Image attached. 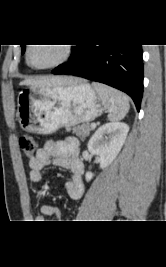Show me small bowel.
<instances>
[{
    "mask_svg": "<svg viewBox=\"0 0 166 267\" xmlns=\"http://www.w3.org/2000/svg\"><path fill=\"white\" fill-rule=\"evenodd\" d=\"M50 164L69 171L71 178L65 185L66 192L72 200H80L84 194L82 180L84 165L80 159L78 140L75 138L48 140L39 148L35 156L29 160L31 182L39 183L43 178V169ZM47 218L60 219V210L51 204L42 205L35 219L42 222Z\"/></svg>",
    "mask_w": 166,
    "mask_h": 267,
    "instance_id": "obj_1",
    "label": "small bowel"
}]
</instances>
